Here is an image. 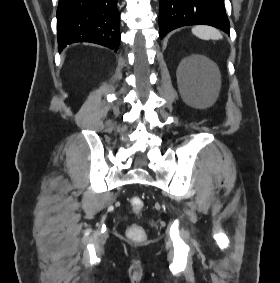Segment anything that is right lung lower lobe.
I'll list each match as a JSON object with an SVG mask.
<instances>
[{
  "instance_id": "right-lung-lower-lobe-1",
  "label": "right lung lower lobe",
  "mask_w": 280,
  "mask_h": 283,
  "mask_svg": "<svg viewBox=\"0 0 280 283\" xmlns=\"http://www.w3.org/2000/svg\"><path fill=\"white\" fill-rule=\"evenodd\" d=\"M117 0H59L58 50L76 42H91L115 51L120 44Z\"/></svg>"
}]
</instances>
